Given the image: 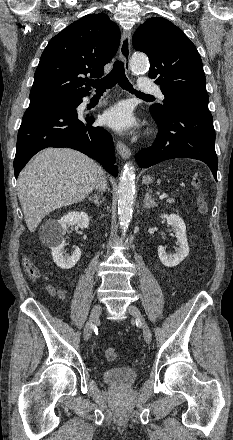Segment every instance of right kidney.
Listing matches in <instances>:
<instances>
[{"label":"right kidney","mask_w":233,"mask_h":440,"mask_svg":"<svg viewBox=\"0 0 233 440\" xmlns=\"http://www.w3.org/2000/svg\"><path fill=\"white\" fill-rule=\"evenodd\" d=\"M89 227V217L85 212H69L59 220H48L43 225L42 242L52 251L53 261L61 269L74 267L81 257V250L76 247L71 255H64V235L69 227Z\"/></svg>","instance_id":"ca27d5eb"}]
</instances>
